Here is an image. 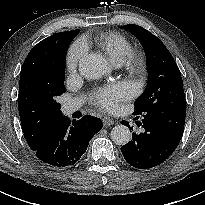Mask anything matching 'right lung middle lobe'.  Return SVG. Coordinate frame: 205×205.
<instances>
[{"instance_id":"dd1d6c3e","label":"right lung middle lobe","mask_w":205,"mask_h":205,"mask_svg":"<svg viewBox=\"0 0 205 205\" xmlns=\"http://www.w3.org/2000/svg\"><path fill=\"white\" fill-rule=\"evenodd\" d=\"M66 51H67V48L64 50V54H63V58H64V61H63V66H62V69L59 73V80H60V84H61V93H64L65 92V86H64V79H65V55H66Z\"/></svg>"}]
</instances>
